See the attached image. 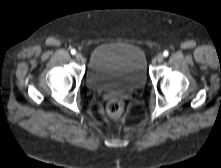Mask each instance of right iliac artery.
Returning a JSON list of instances; mask_svg holds the SVG:
<instances>
[{
	"label": "right iliac artery",
	"instance_id": "82829eb1",
	"mask_svg": "<svg viewBox=\"0 0 221 168\" xmlns=\"http://www.w3.org/2000/svg\"><path fill=\"white\" fill-rule=\"evenodd\" d=\"M76 53L75 49H71V54L74 55Z\"/></svg>",
	"mask_w": 221,
	"mask_h": 168
}]
</instances>
